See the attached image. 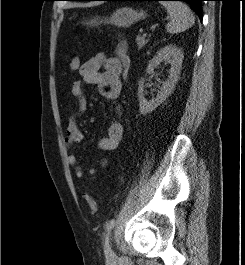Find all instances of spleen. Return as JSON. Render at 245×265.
<instances>
[{"label":"spleen","mask_w":245,"mask_h":265,"mask_svg":"<svg viewBox=\"0 0 245 265\" xmlns=\"http://www.w3.org/2000/svg\"><path fill=\"white\" fill-rule=\"evenodd\" d=\"M161 4L167 9L170 15V22L166 25V30L169 33L183 32L194 24L195 17L185 3L179 1H163Z\"/></svg>","instance_id":"3e777b00"}]
</instances>
